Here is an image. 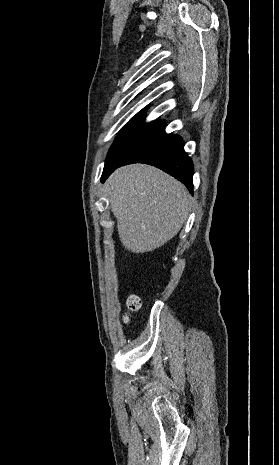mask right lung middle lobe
<instances>
[{
  "mask_svg": "<svg viewBox=\"0 0 279 465\" xmlns=\"http://www.w3.org/2000/svg\"><path fill=\"white\" fill-rule=\"evenodd\" d=\"M180 137L165 133L161 125L131 124L123 128L111 146L105 166L143 162L175 146Z\"/></svg>",
  "mask_w": 279,
  "mask_h": 465,
  "instance_id": "dd1d6c3e",
  "label": "right lung middle lobe"
}]
</instances>
